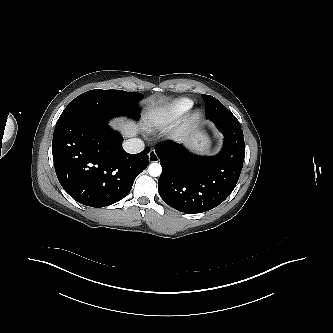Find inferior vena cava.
Here are the masks:
<instances>
[{
	"mask_svg": "<svg viewBox=\"0 0 333 333\" xmlns=\"http://www.w3.org/2000/svg\"><path fill=\"white\" fill-rule=\"evenodd\" d=\"M123 148L127 153H139L144 149V142L141 139L132 138L123 143Z\"/></svg>",
	"mask_w": 333,
	"mask_h": 333,
	"instance_id": "602c4592",
	"label": "inferior vena cava"
}]
</instances>
